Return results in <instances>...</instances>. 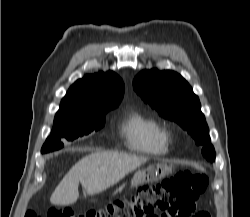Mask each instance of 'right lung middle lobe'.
Segmentation results:
<instances>
[{"label": "right lung middle lobe", "mask_w": 250, "mask_h": 217, "mask_svg": "<svg viewBox=\"0 0 250 217\" xmlns=\"http://www.w3.org/2000/svg\"><path fill=\"white\" fill-rule=\"evenodd\" d=\"M105 113L106 112L94 114L88 118L54 121L51 135L44 143L41 153H47L62 148V139L72 141L92 131H98L105 124Z\"/></svg>", "instance_id": "right-lung-middle-lobe-1"}]
</instances>
